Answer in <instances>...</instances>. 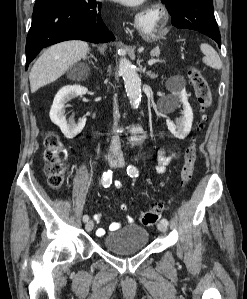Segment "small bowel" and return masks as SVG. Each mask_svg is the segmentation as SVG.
Wrapping results in <instances>:
<instances>
[{
	"mask_svg": "<svg viewBox=\"0 0 247 299\" xmlns=\"http://www.w3.org/2000/svg\"><path fill=\"white\" fill-rule=\"evenodd\" d=\"M158 161H159L160 165L158 166L157 170H158V172L162 173L164 171L165 167L170 163L171 157L169 155H167L164 151H160L158 153ZM116 187L120 188L121 187L120 183H117ZM120 208H121V210H126L127 207L125 204H121ZM101 219H102V214L97 213L94 215L95 222L98 223L101 221ZM127 220L131 221V218H128ZM109 228L111 231H115L120 228V223L119 222H111L109 225ZM96 234L98 236H103L105 234V230L103 228H98L96 231Z\"/></svg>",
	"mask_w": 247,
	"mask_h": 299,
	"instance_id": "c3829d8e",
	"label": "small bowel"
}]
</instances>
